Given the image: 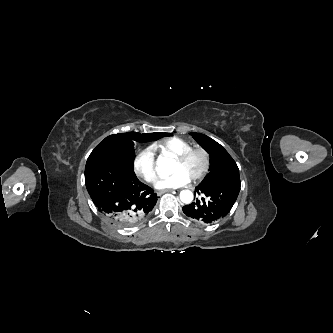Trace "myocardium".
Masks as SVG:
<instances>
[{"label": "myocardium", "mask_w": 333, "mask_h": 333, "mask_svg": "<svg viewBox=\"0 0 333 333\" xmlns=\"http://www.w3.org/2000/svg\"><path fill=\"white\" fill-rule=\"evenodd\" d=\"M193 154H200L203 158V167L201 171L193 177L191 180L193 182L201 181L208 173L210 166H211V156L209 152L201 147L190 148L189 150L181 153L177 157H175V161L178 163H185Z\"/></svg>", "instance_id": "f54148a6"}]
</instances>
